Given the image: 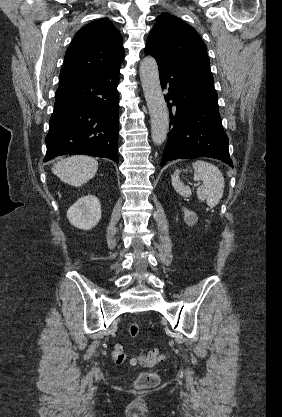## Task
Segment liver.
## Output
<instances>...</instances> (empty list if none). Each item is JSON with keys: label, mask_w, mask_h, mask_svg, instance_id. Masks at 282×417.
<instances>
[{"label": "liver", "mask_w": 282, "mask_h": 417, "mask_svg": "<svg viewBox=\"0 0 282 417\" xmlns=\"http://www.w3.org/2000/svg\"><path fill=\"white\" fill-rule=\"evenodd\" d=\"M98 170V162L92 156H69L55 162L52 172L59 176L63 182L72 184V186H82L84 182L95 176Z\"/></svg>", "instance_id": "liver-1"}]
</instances>
